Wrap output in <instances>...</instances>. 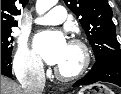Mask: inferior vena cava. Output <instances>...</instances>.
<instances>
[{
	"instance_id": "602c4592",
	"label": "inferior vena cava",
	"mask_w": 121,
	"mask_h": 94,
	"mask_svg": "<svg viewBox=\"0 0 121 94\" xmlns=\"http://www.w3.org/2000/svg\"><path fill=\"white\" fill-rule=\"evenodd\" d=\"M19 79L24 94H42L46 82L42 66L31 68L28 78Z\"/></svg>"
}]
</instances>
